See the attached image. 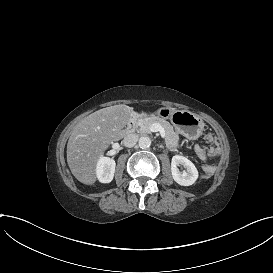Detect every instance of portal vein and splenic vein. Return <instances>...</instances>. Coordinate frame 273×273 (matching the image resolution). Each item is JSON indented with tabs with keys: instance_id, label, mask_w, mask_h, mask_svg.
I'll use <instances>...</instances> for the list:
<instances>
[{
	"instance_id": "obj_1",
	"label": "portal vein and splenic vein",
	"mask_w": 273,
	"mask_h": 273,
	"mask_svg": "<svg viewBox=\"0 0 273 273\" xmlns=\"http://www.w3.org/2000/svg\"><path fill=\"white\" fill-rule=\"evenodd\" d=\"M151 132H159L162 138H165V130L159 123L152 124Z\"/></svg>"
}]
</instances>
